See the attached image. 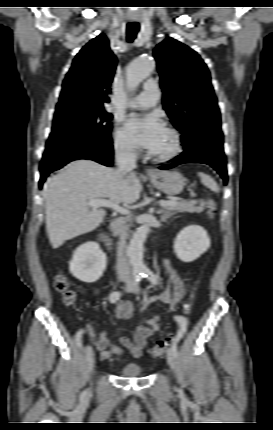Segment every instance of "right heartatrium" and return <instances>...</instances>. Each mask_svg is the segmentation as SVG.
<instances>
[{"instance_id": "obj_1", "label": "right heart atrium", "mask_w": 273, "mask_h": 430, "mask_svg": "<svg viewBox=\"0 0 273 430\" xmlns=\"http://www.w3.org/2000/svg\"><path fill=\"white\" fill-rule=\"evenodd\" d=\"M113 142L116 153L122 157L130 158L136 156L138 153L137 145L122 127L115 129Z\"/></svg>"}]
</instances>
